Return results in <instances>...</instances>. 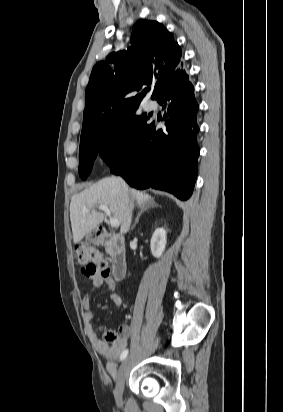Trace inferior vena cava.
<instances>
[{
    "label": "inferior vena cava",
    "mask_w": 283,
    "mask_h": 412,
    "mask_svg": "<svg viewBox=\"0 0 283 412\" xmlns=\"http://www.w3.org/2000/svg\"><path fill=\"white\" fill-rule=\"evenodd\" d=\"M120 181H121L122 186H123L124 188H127V185H126L125 181H124L122 178H120ZM129 203H130V206H132L133 202H132L131 199H130Z\"/></svg>",
    "instance_id": "obj_1"
}]
</instances>
